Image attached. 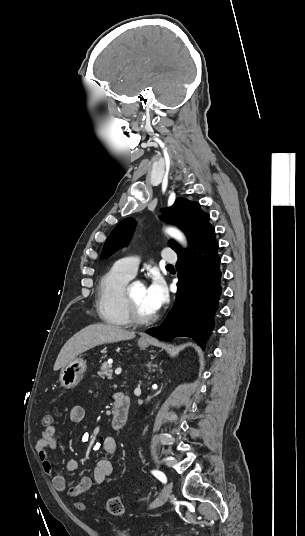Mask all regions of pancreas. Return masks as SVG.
Masks as SVG:
<instances>
[{
	"label": "pancreas",
	"mask_w": 305,
	"mask_h": 536,
	"mask_svg": "<svg viewBox=\"0 0 305 536\" xmlns=\"http://www.w3.org/2000/svg\"><path fill=\"white\" fill-rule=\"evenodd\" d=\"M112 368H113L112 364H108V362H104V364H102L100 368V372H97L99 378H103V380H105V378H108V380H112V374H113Z\"/></svg>",
	"instance_id": "pancreas-1"
}]
</instances>
